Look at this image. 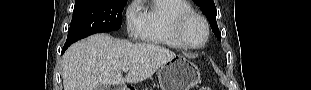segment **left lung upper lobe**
<instances>
[{"label":"left lung upper lobe","instance_id":"1","mask_svg":"<svg viewBox=\"0 0 311 90\" xmlns=\"http://www.w3.org/2000/svg\"><path fill=\"white\" fill-rule=\"evenodd\" d=\"M194 2L201 8L207 19L210 21L212 31L218 40H221L220 32L216 22L217 10L213 0H194Z\"/></svg>","mask_w":311,"mask_h":90}]
</instances>
